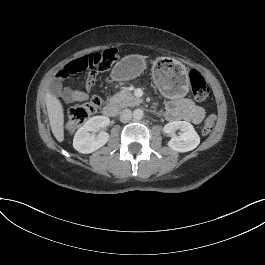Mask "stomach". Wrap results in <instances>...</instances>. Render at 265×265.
I'll return each mask as SVG.
<instances>
[{"instance_id": "stomach-1", "label": "stomach", "mask_w": 265, "mask_h": 265, "mask_svg": "<svg viewBox=\"0 0 265 265\" xmlns=\"http://www.w3.org/2000/svg\"><path fill=\"white\" fill-rule=\"evenodd\" d=\"M145 69V61L137 55H129L113 68L111 76L118 81L139 76ZM152 76L155 85L168 98L184 97L189 90L188 70L184 64L170 57H160L154 61Z\"/></svg>"}]
</instances>
